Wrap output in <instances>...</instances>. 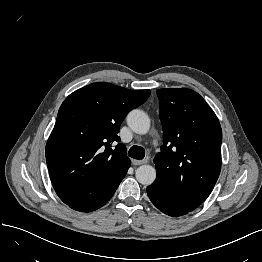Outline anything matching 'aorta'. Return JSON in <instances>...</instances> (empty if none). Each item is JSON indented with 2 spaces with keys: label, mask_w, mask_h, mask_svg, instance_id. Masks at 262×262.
<instances>
[{
  "label": "aorta",
  "mask_w": 262,
  "mask_h": 262,
  "mask_svg": "<svg viewBox=\"0 0 262 262\" xmlns=\"http://www.w3.org/2000/svg\"><path fill=\"white\" fill-rule=\"evenodd\" d=\"M128 126L137 134H146L150 129L148 115L139 109H134L127 115ZM136 179L142 185H151L156 179V170L150 165H142L136 170Z\"/></svg>",
  "instance_id": "aorta-1"
}]
</instances>
